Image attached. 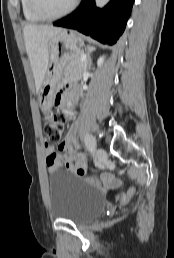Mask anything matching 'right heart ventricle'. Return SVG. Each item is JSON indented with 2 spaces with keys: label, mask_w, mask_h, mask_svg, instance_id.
I'll return each mask as SVG.
<instances>
[{
  "label": "right heart ventricle",
  "mask_w": 174,
  "mask_h": 258,
  "mask_svg": "<svg viewBox=\"0 0 174 258\" xmlns=\"http://www.w3.org/2000/svg\"><path fill=\"white\" fill-rule=\"evenodd\" d=\"M21 9L25 19L29 22L37 23L43 21L38 15L34 13L30 6V0H20Z\"/></svg>",
  "instance_id": "right-heart-ventricle-1"
}]
</instances>
